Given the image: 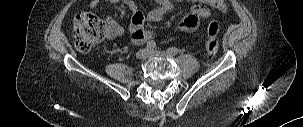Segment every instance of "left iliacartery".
<instances>
[{
	"instance_id": "left-iliac-artery-1",
	"label": "left iliac artery",
	"mask_w": 303,
	"mask_h": 127,
	"mask_svg": "<svg viewBox=\"0 0 303 127\" xmlns=\"http://www.w3.org/2000/svg\"><path fill=\"white\" fill-rule=\"evenodd\" d=\"M178 48H176V47H171V48H169L168 50H167V53L169 54V55H171V56H174V55H176L177 53H178Z\"/></svg>"
}]
</instances>
